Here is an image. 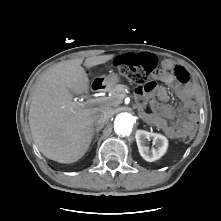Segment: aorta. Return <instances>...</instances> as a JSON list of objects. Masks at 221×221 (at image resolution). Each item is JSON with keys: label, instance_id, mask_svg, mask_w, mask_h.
I'll return each instance as SVG.
<instances>
[{"label": "aorta", "instance_id": "aorta-1", "mask_svg": "<svg viewBox=\"0 0 221 221\" xmlns=\"http://www.w3.org/2000/svg\"><path fill=\"white\" fill-rule=\"evenodd\" d=\"M135 118L132 114L123 112L116 116L114 121L115 132L119 135H129L132 131Z\"/></svg>", "mask_w": 221, "mask_h": 221}]
</instances>
